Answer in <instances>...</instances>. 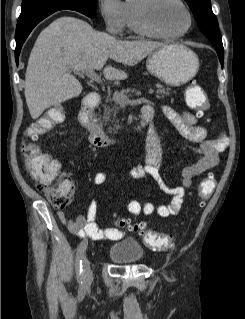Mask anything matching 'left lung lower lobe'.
Masks as SVG:
<instances>
[{"instance_id":"0a47b994","label":"left lung lower lobe","mask_w":245,"mask_h":319,"mask_svg":"<svg viewBox=\"0 0 245 319\" xmlns=\"http://www.w3.org/2000/svg\"><path fill=\"white\" fill-rule=\"evenodd\" d=\"M221 63V66L223 67L224 65V51H221L220 49L215 48Z\"/></svg>"}]
</instances>
